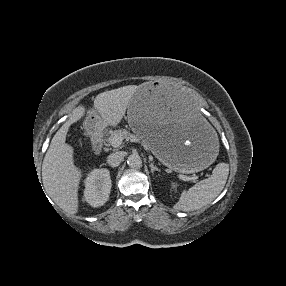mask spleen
Instances as JSON below:
<instances>
[{"label": "spleen", "instance_id": "spleen-1", "mask_svg": "<svg viewBox=\"0 0 286 286\" xmlns=\"http://www.w3.org/2000/svg\"><path fill=\"white\" fill-rule=\"evenodd\" d=\"M229 174V165L219 163L212 175L181 193L174 209L185 212L201 209L211 203L223 190Z\"/></svg>", "mask_w": 286, "mask_h": 286}]
</instances>
